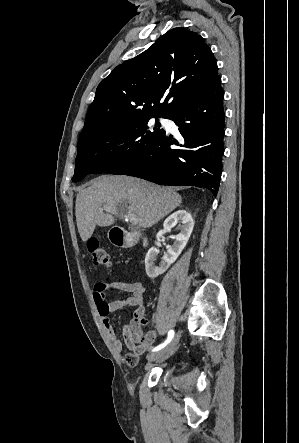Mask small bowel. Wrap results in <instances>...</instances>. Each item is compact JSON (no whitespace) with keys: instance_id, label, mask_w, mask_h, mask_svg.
<instances>
[{"instance_id":"c3829d8e","label":"small bowel","mask_w":299,"mask_h":443,"mask_svg":"<svg viewBox=\"0 0 299 443\" xmlns=\"http://www.w3.org/2000/svg\"><path fill=\"white\" fill-rule=\"evenodd\" d=\"M108 292H125L129 293V296L123 299L106 301L105 296ZM91 293L102 325L112 341L114 350L117 353H121L125 344L130 350V352L124 356L125 362L129 366L136 365L139 356L154 344L156 332L150 330L143 333L138 323H129L123 327L122 341L116 335L111 317L115 311L125 306H133L137 308L134 315L142 319L145 313L143 307L145 286L137 281L115 280L111 282H96L92 285Z\"/></svg>"}]
</instances>
